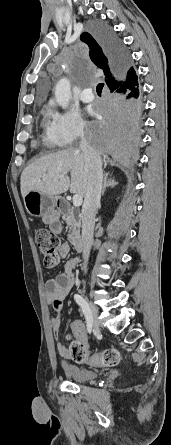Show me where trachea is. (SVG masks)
Masks as SVG:
<instances>
[{"label": "trachea", "instance_id": "trachea-1", "mask_svg": "<svg viewBox=\"0 0 171 445\" xmlns=\"http://www.w3.org/2000/svg\"><path fill=\"white\" fill-rule=\"evenodd\" d=\"M103 87H104V83H99L97 85L96 91H97L98 95H101Z\"/></svg>", "mask_w": 171, "mask_h": 445}]
</instances>
